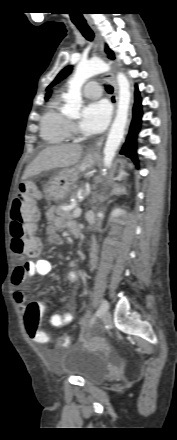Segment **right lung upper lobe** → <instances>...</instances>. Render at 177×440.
Returning <instances> with one entry per match:
<instances>
[{
  "label": "right lung upper lobe",
  "instance_id": "right-lung-upper-lobe-1",
  "mask_svg": "<svg viewBox=\"0 0 177 440\" xmlns=\"http://www.w3.org/2000/svg\"><path fill=\"white\" fill-rule=\"evenodd\" d=\"M49 96H50V92L46 94L45 99H48Z\"/></svg>",
  "mask_w": 177,
  "mask_h": 440
}]
</instances>
